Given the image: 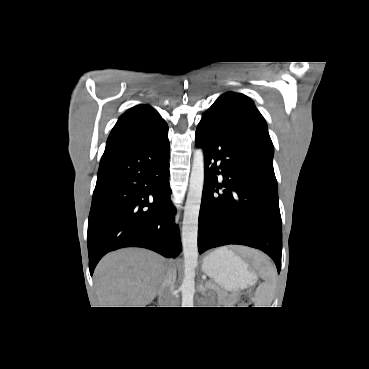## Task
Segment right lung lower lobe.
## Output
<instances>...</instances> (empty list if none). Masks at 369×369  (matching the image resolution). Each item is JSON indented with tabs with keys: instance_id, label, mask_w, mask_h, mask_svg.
I'll list each match as a JSON object with an SVG mask.
<instances>
[{
	"instance_id": "1",
	"label": "right lung lower lobe",
	"mask_w": 369,
	"mask_h": 369,
	"mask_svg": "<svg viewBox=\"0 0 369 369\" xmlns=\"http://www.w3.org/2000/svg\"><path fill=\"white\" fill-rule=\"evenodd\" d=\"M168 129L104 154L88 221L90 274L108 252L129 246L180 253L169 186Z\"/></svg>"
}]
</instances>
